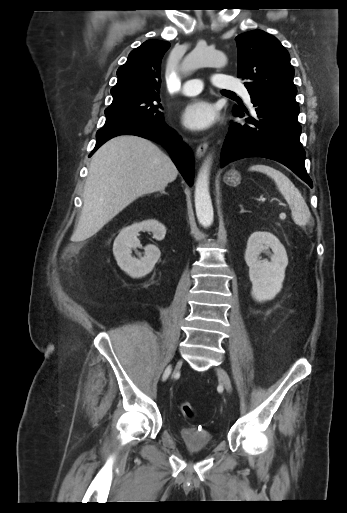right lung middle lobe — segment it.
<instances>
[{
    "label": "right lung middle lobe",
    "mask_w": 347,
    "mask_h": 513,
    "mask_svg": "<svg viewBox=\"0 0 347 513\" xmlns=\"http://www.w3.org/2000/svg\"><path fill=\"white\" fill-rule=\"evenodd\" d=\"M159 95H128L117 100L105 110L106 123L125 118H139L150 122H160L163 114L160 112Z\"/></svg>",
    "instance_id": "1"
}]
</instances>
